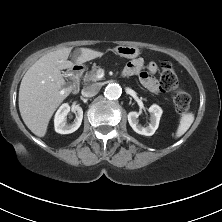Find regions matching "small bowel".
<instances>
[{"instance_id":"c3829d8e","label":"small bowel","mask_w":222,"mask_h":222,"mask_svg":"<svg viewBox=\"0 0 222 222\" xmlns=\"http://www.w3.org/2000/svg\"><path fill=\"white\" fill-rule=\"evenodd\" d=\"M157 64L149 62L145 65L142 58H136L130 61L124 68L123 74L125 76H138L140 83L150 92L158 94L160 92V85L154 74L157 72Z\"/></svg>"}]
</instances>
